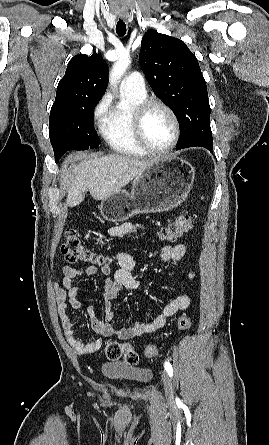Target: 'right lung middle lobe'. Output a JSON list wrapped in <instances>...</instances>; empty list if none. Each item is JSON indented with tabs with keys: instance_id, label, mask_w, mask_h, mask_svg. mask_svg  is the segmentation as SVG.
<instances>
[{
	"instance_id": "1",
	"label": "right lung middle lobe",
	"mask_w": 269,
	"mask_h": 445,
	"mask_svg": "<svg viewBox=\"0 0 269 445\" xmlns=\"http://www.w3.org/2000/svg\"><path fill=\"white\" fill-rule=\"evenodd\" d=\"M100 99L54 102L50 112L49 136L56 162L68 150L96 148L101 143L94 128L93 112Z\"/></svg>"
}]
</instances>
